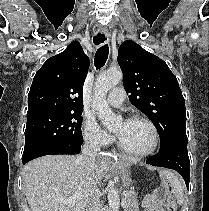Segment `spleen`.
<instances>
[{"label": "spleen", "instance_id": "obj_1", "mask_svg": "<svg viewBox=\"0 0 209 211\" xmlns=\"http://www.w3.org/2000/svg\"><path fill=\"white\" fill-rule=\"evenodd\" d=\"M162 174L169 180L171 187L175 191L178 204L182 205L185 199V186L179 176L169 170H163Z\"/></svg>", "mask_w": 209, "mask_h": 211}]
</instances>
